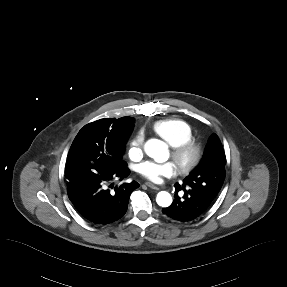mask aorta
I'll list each match as a JSON object with an SVG mask.
<instances>
[{"label": "aorta", "instance_id": "obj_1", "mask_svg": "<svg viewBox=\"0 0 287 287\" xmlns=\"http://www.w3.org/2000/svg\"><path fill=\"white\" fill-rule=\"evenodd\" d=\"M146 154L156 162H164L168 159V149L166 143L158 139H150L145 144ZM156 202L161 207H168L172 203V196L166 191L157 194Z\"/></svg>", "mask_w": 287, "mask_h": 287}]
</instances>
